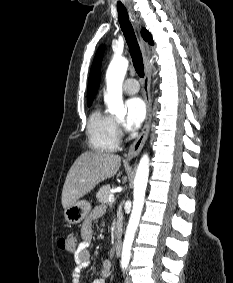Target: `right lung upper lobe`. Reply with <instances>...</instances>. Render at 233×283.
<instances>
[{
	"instance_id": "obj_1",
	"label": "right lung upper lobe",
	"mask_w": 233,
	"mask_h": 283,
	"mask_svg": "<svg viewBox=\"0 0 233 283\" xmlns=\"http://www.w3.org/2000/svg\"><path fill=\"white\" fill-rule=\"evenodd\" d=\"M141 35L146 42H148L151 45L154 44L150 32H148L146 29H143L141 31ZM102 57H103V48H99L92 64L89 82H88V93H87L88 104H92L94 96L99 88Z\"/></svg>"
}]
</instances>
